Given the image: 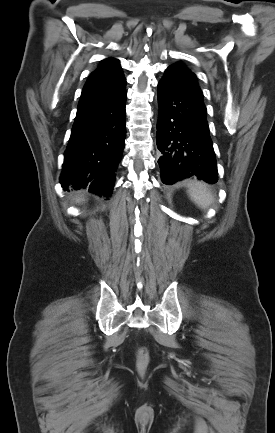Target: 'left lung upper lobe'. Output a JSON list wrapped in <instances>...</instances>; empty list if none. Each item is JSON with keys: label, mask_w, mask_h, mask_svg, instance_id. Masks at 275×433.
<instances>
[{"label": "left lung upper lobe", "mask_w": 275, "mask_h": 433, "mask_svg": "<svg viewBox=\"0 0 275 433\" xmlns=\"http://www.w3.org/2000/svg\"><path fill=\"white\" fill-rule=\"evenodd\" d=\"M163 77L170 79L182 86H186L203 97L202 91L198 86L195 74L192 73L189 69H187L183 64L175 63L169 66L166 69Z\"/></svg>", "instance_id": "1"}]
</instances>
